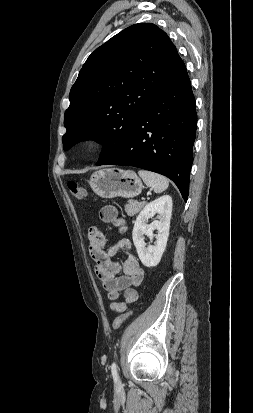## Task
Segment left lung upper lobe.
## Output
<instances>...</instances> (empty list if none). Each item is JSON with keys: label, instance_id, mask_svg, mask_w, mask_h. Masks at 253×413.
<instances>
[{"label": "left lung upper lobe", "instance_id": "obj_1", "mask_svg": "<svg viewBox=\"0 0 253 413\" xmlns=\"http://www.w3.org/2000/svg\"><path fill=\"white\" fill-rule=\"evenodd\" d=\"M178 57L168 35L149 23L132 25L97 48L70 91L64 150L94 139L103 144L96 165L106 162L128 141Z\"/></svg>", "mask_w": 253, "mask_h": 413}]
</instances>
